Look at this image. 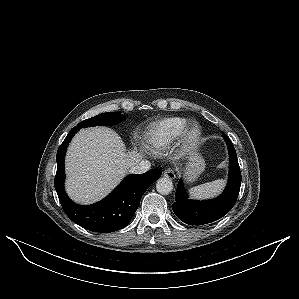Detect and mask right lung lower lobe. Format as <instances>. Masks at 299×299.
Returning <instances> with one entry per match:
<instances>
[{"mask_svg":"<svg viewBox=\"0 0 299 299\" xmlns=\"http://www.w3.org/2000/svg\"><path fill=\"white\" fill-rule=\"evenodd\" d=\"M79 128H72L56 155L57 173L54 186L66 215L79 226L100 233H109L127 226L139 207L141 197L162 172L158 169L140 175H129L105 199L98 203L80 206L72 202L64 190V158L67 146Z\"/></svg>","mask_w":299,"mask_h":299,"instance_id":"1","label":"right lung lower lobe"}]
</instances>
